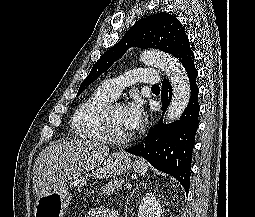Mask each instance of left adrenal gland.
<instances>
[{"label": "left adrenal gland", "instance_id": "left-adrenal-gland-1", "mask_svg": "<svg viewBox=\"0 0 255 217\" xmlns=\"http://www.w3.org/2000/svg\"><path fill=\"white\" fill-rule=\"evenodd\" d=\"M142 184L144 185L145 183L143 182ZM140 185H141V184L137 185L136 188L131 192L129 199H130V198L132 197V195L137 191V189H138V187H139ZM127 202H128V200H127Z\"/></svg>", "mask_w": 255, "mask_h": 217}]
</instances>
